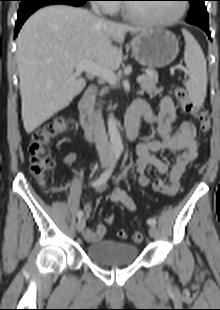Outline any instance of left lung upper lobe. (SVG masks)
Here are the masks:
<instances>
[{"label": "left lung upper lobe", "mask_w": 220, "mask_h": 310, "mask_svg": "<svg viewBox=\"0 0 220 310\" xmlns=\"http://www.w3.org/2000/svg\"><path fill=\"white\" fill-rule=\"evenodd\" d=\"M190 2V11L186 21L196 26L208 27V13L204 5L205 0H188Z\"/></svg>", "instance_id": "1"}]
</instances>
